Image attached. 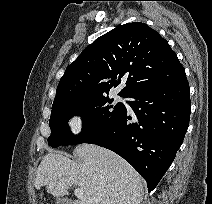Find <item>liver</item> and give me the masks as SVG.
<instances>
[{
    "mask_svg": "<svg viewBox=\"0 0 212 204\" xmlns=\"http://www.w3.org/2000/svg\"><path fill=\"white\" fill-rule=\"evenodd\" d=\"M74 155L81 162L60 153L46 154L35 173V188L46 186L47 193L63 197L75 185L84 198L73 204H141L142 179L123 158L92 144L77 146Z\"/></svg>",
    "mask_w": 212,
    "mask_h": 204,
    "instance_id": "1",
    "label": "liver"
}]
</instances>
